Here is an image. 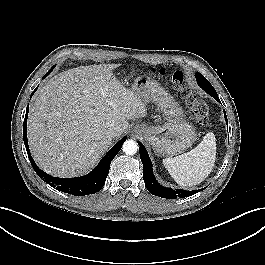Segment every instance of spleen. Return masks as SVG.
I'll return each instance as SVG.
<instances>
[{
    "mask_svg": "<svg viewBox=\"0 0 265 265\" xmlns=\"http://www.w3.org/2000/svg\"><path fill=\"white\" fill-rule=\"evenodd\" d=\"M216 159V140L212 132L191 151L163 159V165L180 186L200 184L211 173Z\"/></svg>",
    "mask_w": 265,
    "mask_h": 265,
    "instance_id": "3e777b00",
    "label": "spleen"
}]
</instances>
